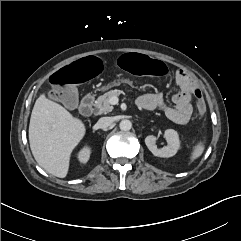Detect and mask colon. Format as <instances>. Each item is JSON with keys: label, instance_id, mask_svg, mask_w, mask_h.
Returning a JSON list of instances; mask_svg holds the SVG:
<instances>
[{"label": "colon", "instance_id": "colon-1", "mask_svg": "<svg viewBox=\"0 0 241 241\" xmlns=\"http://www.w3.org/2000/svg\"><path fill=\"white\" fill-rule=\"evenodd\" d=\"M118 64L124 72L154 80L169 78L173 74V66L169 62L150 58L143 53H124L120 56ZM104 66L105 59L98 54L75 60L64 69L54 70L47 76V89H53L52 96L63 108L74 109L81 100L77 88L83 86L87 80L97 78ZM195 97L198 111L202 115L206 109L204 101L198 92L195 93Z\"/></svg>", "mask_w": 241, "mask_h": 241}]
</instances>
